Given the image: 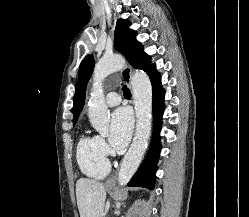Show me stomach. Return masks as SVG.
I'll return each mask as SVG.
<instances>
[{
  "mask_svg": "<svg viewBox=\"0 0 249 217\" xmlns=\"http://www.w3.org/2000/svg\"><path fill=\"white\" fill-rule=\"evenodd\" d=\"M111 189H112V187L107 186V190H109V191H110Z\"/></svg>",
  "mask_w": 249,
  "mask_h": 217,
  "instance_id": "0dacf381",
  "label": "stomach"
}]
</instances>
